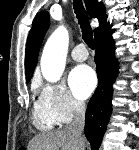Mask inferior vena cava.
Returning <instances> with one entry per match:
<instances>
[{"label": "inferior vena cava", "instance_id": "obj_1", "mask_svg": "<svg viewBox=\"0 0 139 150\" xmlns=\"http://www.w3.org/2000/svg\"><path fill=\"white\" fill-rule=\"evenodd\" d=\"M75 116L73 122L67 127L68 131L76 138L79 150H84V139L82 132L85 125V104L83 102L76 101L74 103Z\"/></svg>", "mask_w": 139, "mask_h": 150}]
</instances>
